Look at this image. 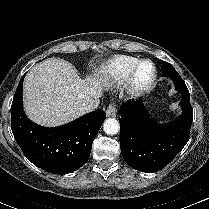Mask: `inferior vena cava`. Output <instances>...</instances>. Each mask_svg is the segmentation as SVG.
<instances>
[{"instance_id":"1","label":"inferior vena cava","mask_w":209,"mask_h":209,"mask_svg":"<svg viewBox=\"0 0 209 209\" xmlns=\"http://www.w3.org/2000/svg\"><path fill=\"white\" fill-rule=\"evenodd\" d=\"M98 104H99L98 102L86 104L82 106L80 109L83 113L92 112L97 108Z\"/></svg>"}]
</instances>
